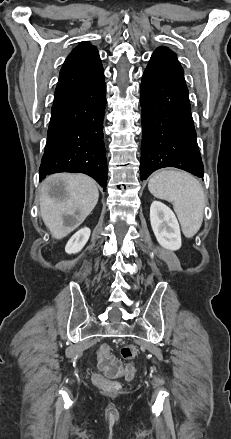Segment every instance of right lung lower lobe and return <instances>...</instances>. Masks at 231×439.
Wrapping results in <instances>:
<instances>
[{
	"mask_svg": "<svg viewBox=\"0 0 231 439\" xmlns=\"http://www.w3.org/2000/svg\"><path fill=\"white\" fill-rule=\"evenodd\" d=\"M105 92L103 72L94 81L54 98L40 180L57 172L85 173L106 190Z\"/></svg>",
	"mask_w": 231,
	"mask_h": 439,
	"instance_id": "98d812e1",
	"label": "right lung lower lobe"
}]
</instances>
